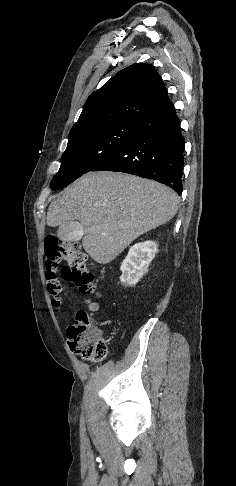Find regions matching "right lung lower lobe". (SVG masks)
I'll list each match as a JSON object with an SVG mask.
<instances>
[{
  "instance_id": "right-lung-lower-lobe-1",
  "label": "right lung lower lobe",
  "mask_w": 236,
  "mask_h": 486,
  "mask_svg": "<svg viewBox=\"0 0 236 486\" xmlns=\"http://www.w3.org/2000/svg\"><path fill=\"white\" fill-rule=\"evenodd\" d=\"M184 138L174 106L147 115L136 134L91 171H116L156 180L182 192Z\"/></svg>"
}]
</instances>
